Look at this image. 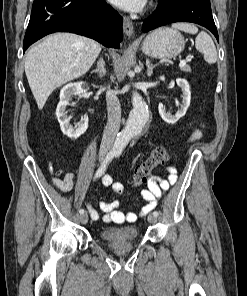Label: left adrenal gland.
I'll list each match as a JSON object with an SVG mask.
<instances>
[{"label":"left adrenal gland","mask_w":247,"mask_h":296,"mask_svg":"<svg viewBox=\"0 0 247 296\" xmlns=\"http://www.w3.org/2000/svg\"><path fill=\"white\" fill-rule=\"evenodd\" d=\"M146 66H147V75L150 77L153 74V69L156 67V65L151 64L149 59H147Z\"/></svg>","instance_id":"1"}]
</instances>
